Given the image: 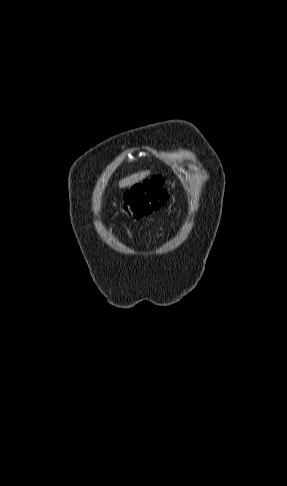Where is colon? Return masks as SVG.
<instances>
[{
  "label": "colon",
  "instance_id": "obj_1",
  "mask_svg": "<svg viewBox=\"0 0 287 486\" xmlns=\"http://www.w3.org/2000/svg\"><path fill=\"white\" fill-rule=\"evenodd\" d=\"M169 196L164 177L155 175L129 188L123 196L121 209L129 217L141 219L163 206Z\"/></svg>",
  "mask_w": 287,
  "mask_h": 486
}]
</instances>
